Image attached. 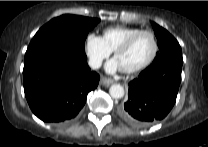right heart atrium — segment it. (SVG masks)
Masks as SVG:
<instances>
[{"instance_id":"right-heart-atrium-1","label":"right heart atrium","mask_w":208,"mask_h":147,"mask_svg":"<svg viewBox=\"0 0 208 147\" xmlns=\"http://www.w3.org/2000/svg\"><path fill=\"white\" fill-rule=\"evenodd\" d=\"M86 53L92 66L98 67L102 61L110 56L111 50L105 43L103 37L90 33L85 41Z\"/></svg>"}]
</instances>
